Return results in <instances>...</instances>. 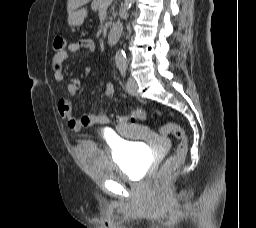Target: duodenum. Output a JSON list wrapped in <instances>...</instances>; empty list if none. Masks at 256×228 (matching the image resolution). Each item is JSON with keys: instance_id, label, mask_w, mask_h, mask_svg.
I'll list each match as a JSON object with an SVG mask.
<instances>
[{"instance_id": "410a0bca", "label": "duodenum", "mask_w": 256, "mask_h": 228, "mask_svg": "<svg viewBox=\"0 0 256 228\" xmlns=\"http://www.w3.org/2000/svg\"><path fill=\"white\" fill-rule=\"evenodd\" d=\"M122 35V27L119 24L113 26L107 35V43L109 45H115Z\"/></svg>"}]
</instances>
